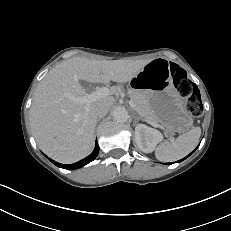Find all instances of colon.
<instances>
[{"label": "colon", "mask_w": 231, "mask_h": 231, "mask_svg": "<svg viewBox=\"0 0 231 231\" xmlns=\"http://www.w3.org/2000/svg\"><path fill=\"white\" fill-rule=\"evenodd\" d=\"M173 77L177 84L178 92L186 97V110L193 116L202 114V103L195 85L188 79L184 69L176 64L170 65Z\"/></svg>", "instance_id": "5ec220e1"}]
</instances>
